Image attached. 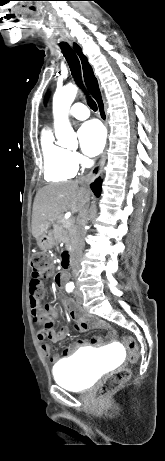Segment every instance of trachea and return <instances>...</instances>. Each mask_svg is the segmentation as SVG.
I'll list each match as a JSON object with an SVG mask.
<instances>
[{"instance_id":"trachea-1","label":"trachea","mask_w":165,"mask_h":461,"mask_svg":"<svg viewBox=\"0 0 165 461\" xmlns=\"http://www.w3.org/2000/svg\"><path fill=\"white\" fill-rule=\"evenodd\" d=\"M61 49L62 52L64 53V56L68 62V65L70 67L72 76L74 77L75 81L79 86L82 87V82H81V67H80V61L75 54V52L70 48L68 44H61ZM84 71V78L85 82L87 84V87L90 91V93L93 95V97L96 99L97 102L102 103V98L98 86L97 79L93 73L92 67L88 63L87 59L85 58V70ZM88 105L89 107L96 111L97 110V105L94 100L91 98L88 99Z\"/></svg>"}]
</instances>
